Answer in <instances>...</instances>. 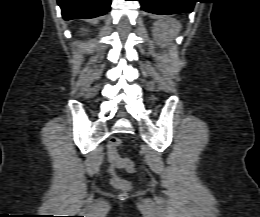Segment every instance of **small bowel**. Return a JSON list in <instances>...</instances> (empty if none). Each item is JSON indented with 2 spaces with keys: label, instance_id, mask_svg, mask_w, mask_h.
<instances>
[{
  "label": "small bowel",
  "instance_id": "small-bowel-1",
  "mask_svg": "<svg viewBox=\"0 0 260 217\" xmlns=\"http://www.w3.org/2000/svg\"><path fill=\"white\" fill-rule=\"evenodd\" d=\"M118 155L116 152V149H114L113 147H111L109 145L108 148V161H109V172H114L115 168L118 166L117 160H118Z\"/></svg>",
  "mask_w": 260,
  "mask_h": 217
}]
</instances>
